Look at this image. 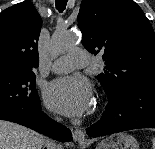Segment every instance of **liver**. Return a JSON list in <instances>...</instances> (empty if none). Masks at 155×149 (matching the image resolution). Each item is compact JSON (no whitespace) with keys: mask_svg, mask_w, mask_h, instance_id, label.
I'll return each instance as SVG.
<instances>
[{"mask_svg":"<svg viewBox=\"0 0 155 149\" xmlns=\"http://www.w3.org/2000/svg\"><path fill=\"white\" fill-rule=\"evenodd\" d=\"M46 140L26 127L0 120V149H43Z\"/></svg>","mask_w":155,"mask_h":149,"instance_id":"liver-1","label":"liver"}]
</instances>
